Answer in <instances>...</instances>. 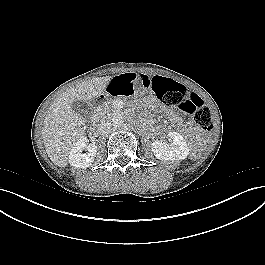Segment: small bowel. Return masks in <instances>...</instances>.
<instances>
[{"label":"small bowel","mask_w":265,"mask_h":265,"mask_svg":"<svg viewBox=\"0 0 265 265\" xmlns=\"http://www.w3.org/2000/svg\"><path fill=\"white\" fill-rule=\"evenodd\" d=\"M134 74H122L115 77L108 85L109 90L117 96L131 95L134 92L135 86L131 81Z\"/></svg>","instance_id":"1"}]
</instances>
